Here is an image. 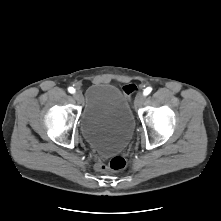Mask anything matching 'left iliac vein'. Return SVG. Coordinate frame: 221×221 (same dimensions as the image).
Segmentation results:
<instances>
[{"label": "left iliac vein", "mask_w": 221, "mask_h": 221, "mask_svg": "<svg viewBox=\"0 0 221 221\" xmlns=\"http://www.w3.org/2000/svg\"><path fill=\"white\" fill-rule=\"evenodd\" d=\"M145 100V95L143 92H139L137 95H136V98H135V101H134V104H135V107H140L143 102Z\"/></svg>", "instance_id": "obj_1"}]
</instances>
